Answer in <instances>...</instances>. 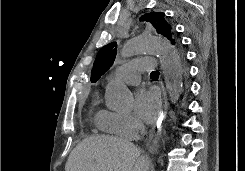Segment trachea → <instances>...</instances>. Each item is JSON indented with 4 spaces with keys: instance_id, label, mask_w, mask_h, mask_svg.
Here are the masks:
<instances>
[{
    "instance_id": "3493384b",
    "label": "trachea",
    "mask_w": 245,
    "mask_h": 171,
    "mask_svg": "<svg viewBox=\"0 0 245 171\" xmlns=\"http://www.w3.org/2000/svg\"><path fill=\"white\" fill-rule=\"evenodd\" d=\"M158 75H159L158 71H153V72H151L150 77H156Z\"/></svg>"
}]
</instances>
